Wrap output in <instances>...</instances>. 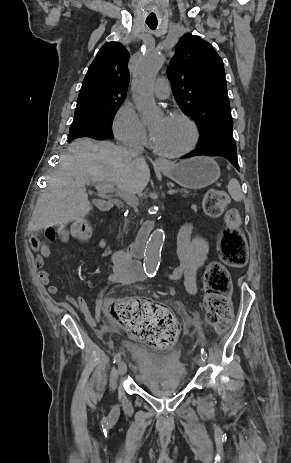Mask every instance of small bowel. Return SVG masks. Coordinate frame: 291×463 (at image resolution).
Instances as JSON below:
<instances>
[{"mask_svg":"<svg viewBox=\"0 0 291 463\" xmlns=\"http://www.w3.org/2000/svg\"><path fill=\"white\" fill-rule=\"evenodd\" d=\"M60 240L67 243L70 236L64 234ZM95 247L107 250L108 244L106 240L100 239L95 244ZM32 248L37 252L35 267L41 283L47 285L50 294H57L59 288L50 284L49 274L44 268L45 260L51 259L50 247L38 238H33ZM208 249L207 241L196 237L190 225L182 227L178 235L179 264L169 274V278L171 280H183L187 292L196 294L198 291L197 274L207 258ZM112 263L113 272L107 278L106 286H122L146 280L141 264L126 249L115 251L112 254ZM68 301L84 315L90 325L96 326L100 323L102 313L98 302L96 314L93 316L84 298L69 296Z\"/></svg>","mask_w":291,"mask_h":463,"instance_id":"c3829d8e","label":"small bowel"}]
</instances>
